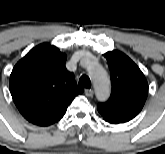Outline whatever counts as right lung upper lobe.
Instances as JSON below:
<instances>
[{"label": "right lung upper lobe", "mask_w": 165, "mask_h": 154, "mask_svg": "<svg viewBox=\"0 0 165 154\" xmlns=\"http://www.w3.org/2000/svg\"><path fill=\"white\" fill-rule=\"evenodd\" d=\"M66 55L48 43L31 49L13 68L10 92L27 119L48 112L83 93L65 67Z\"/></svg>", "instance_id": "cb5924a9"}]
</instances>
